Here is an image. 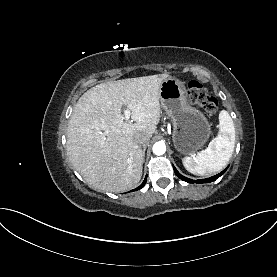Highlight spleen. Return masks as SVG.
Here are the masks:
<instances>
[{
  "instance_id": "spleen-1",
  "label": "spleen",
  "mask_w": 277,
  "mask_h": 277,
  "mask_svg": "<svg viewBox=\"0 0 277 277\" xmlns=\"http://www.w3.org/2000/svg\"><path fill=\"white\" fill-rule=\"evenodd\" d=\"M235 147V127L226 110L219 113V132L205 150L195 157L182 159L187 171L195 175H213L222 170L229 162Z\"/></svg>"
}]
</instances>
